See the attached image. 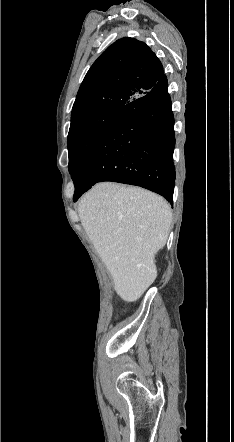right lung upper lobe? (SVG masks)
<instances>
[{
    "mask_svg": "<svg viewBox=\"0 0 234 442\" xmlns=\"http://www.w3.org/2000/svg\"><path fill=\"white\" fill-rule=\"evenodd\" d=\"M164 75L143 42L125 37L110 45L87 72L72 108L71 122L106 109H120L144 95Z\"/></svg>",
    "mask_w": 234,
    "mask_h": 442,
    "instance_id": "1",
    "label": "right lung upper lobe"
}]
</instances>
